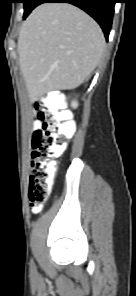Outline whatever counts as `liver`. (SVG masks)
Masks as SVG:
<instances>
[{
  "label": "liver",
  "instance_id": "liver-1",
  "mask_svg": "<svg viewBox=\"0 0 136 296\" xmlns=\"http://www.w3.org/2000/svg\"><path fill=\"white\" fill-rule=\"evenodd\" d=\"M105 48L99 25L67 3H43L23 22L20 70L32 101L51 90L78 87L97 67Z\"/></svg>",
  "mask_w": 136,
  "mask_h": 296
}]
</instances>
